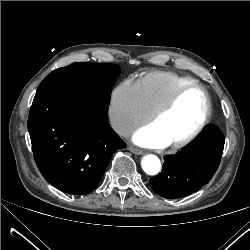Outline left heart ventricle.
<instances>
[{"label":"left heart ventricle","instance_id":"left-heart-ventricle-1","mask_svg":"<svg viewBox=\"0 0 250 250\" xmlns=\"http://www.w3.org/2000/svg\"><path fill=\"white\" fill-rule=\"evenodd\" d=\"M206 103L199 89L186 91L165 116L152 126L169 143L191 133L202 120Z\"/></svg>","mask_w":250,"mask_h":250}]
</instances>
